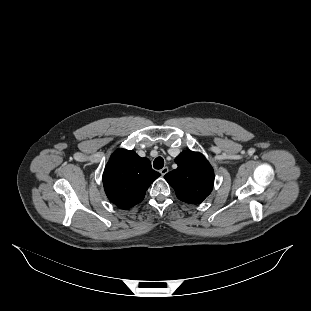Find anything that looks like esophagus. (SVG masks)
Here are the masks:
<instances>
[{"mask_svg": "<svg viewBox=\"0 0 311 311\" xmlns=\"http://www.w3.org/2000/svg\"><path fill=\"white\" fill-rule=\"evenodd\" d=\"M169 171V168L167 166L163 167L161 170H160V173L161 175H165L167 172Z\"/></svg>", "mask_w": 311, "mask_h": 311, "instance_id": "34e87169", "label": "esophagus"}]
</instances>
